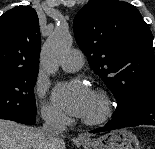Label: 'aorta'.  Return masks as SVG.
Instances as JSON below:
<instances>
[{
	"instance_id": "obj_1",
	"label": "aorta",
	"mask_w": 155,
	"mask_h": 149,
	"mask_svg": "<svg viewBox=\"0 0 155 149\" xmlns=\"http://www.w3.org/2000/svg\"><path fill=\"white\" fill-rule=\"evenodd\" d=\"M72 43L68 26H57L42 50V61L49 74L57 71L61 58L71 49Z\"/></svg>"
}]
</instances>
